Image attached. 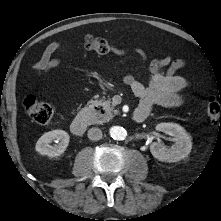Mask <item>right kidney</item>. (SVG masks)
Returning <instances> with one entry per match:
<instances>
[{"instance_id":"right-kidney-1","label":"right kidney","mask_w":221,"mask_h":221,"mask_svg":"<svg viewBox=\"0 0 221 221\" xmlns=\"http://www.w3.org/2000/svg\"><path fill=\"white\" fill-rule=\"evenodd\" d=\"M56 141L57 144L52 146L50 143ZM69 144V135L63 130H53L44 133L37 141L35 149L41 155L49 157L60 156L66 150Z\"/></svg>"}]
</instances>
